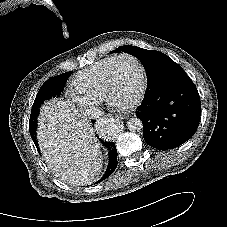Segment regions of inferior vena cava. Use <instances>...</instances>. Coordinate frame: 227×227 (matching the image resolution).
Returning <instances> with one entry per match:
<instances>
[{
	"label": "inferior vena cava",
	"mask_w": 227,
	"mask_h": 227,
	"mask_svg": "<svg viewBox=\"0 0 227 227\" xmlns=\"http://www.w3.org/2000/svg\"><path fill=\"white\" fill-rule=\"evenodd\" d=\"M85 114L91 119L99 118L102 115V111L97 107H90L85 111Z\"/></svg>",
	"instance_id": "obj_1"
}]
</instances>
